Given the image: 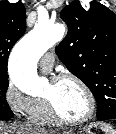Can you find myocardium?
<instances>
[{"mask_svg":"<svg viewBox=\"0 0 116 134\" xmlns=\"http://www.w3.org/2000/svg\"><path fill=\"white\" fill-rule=\"evenodd\" d=\"M64 81H72L83 89L88 99V110L86 114L82 118L76 119V120L66 118L57 110L55 104L50 98L44 97V102L47 106L48 112L53 118V120H55L58 123L68 125V126L83 125L86 122H88L95 114V110H96L95 96L92 90L83 80H81L80 78L72 74H62V75L56 76L52 79L51 82L56 84V83H60Z\"/></svg>","mask_w":116,"mask_h":134,"instance_id":"myocardium-1","label":"myocardium"}]
</instances>
